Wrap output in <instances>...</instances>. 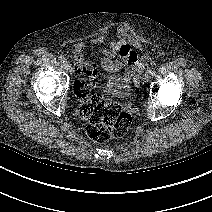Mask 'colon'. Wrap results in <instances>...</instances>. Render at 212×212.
Returning <instances> with one entry per match:
<instances>
[{
    "mask_svg": "<svg viewBox=\"0 0 212 212\" xmlns=\"http://www.w3.org/2000/svg\"><path fill=\"white\" fill-rule=\"evenodd\" d=\"M75 72L77 80L74 88L82 99L79 113L89 122L87 136L96 142H106L126 134L132 123L126 105L106 101L99 95H90L97 81V73L83 56L76 57Z\"/></svg>",
    "mask_w": 212,
    "mask_h": 212,
    "instance_id": "colon-1",
    "label": "colon"
}]
</instances>
